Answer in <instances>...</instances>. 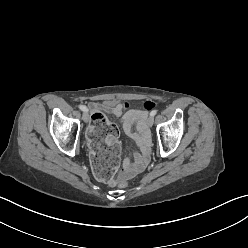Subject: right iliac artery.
<instances>
[{
	"mask_svg": "<svg viewBox=\"0 0 248 248\" xmlns=\"http://www.w3.org/2000/svg\"><path fill=\"white\" fill-rule=\"evenodd\" d=\"M80 110L86 112L87 111V108L84 106V105H80L79 106Z\"/></svg>",
	"mask_w": 248,
	"mask_h": 248,
	"instance_id": "obj_1",
	"label": "right iliac artery"
}]
</instances>
